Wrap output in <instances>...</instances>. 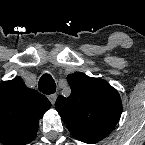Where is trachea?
Here are the masks:
<instances>
[{
    "instance_id": "trachea-1",
    "label": "trachea",
    "mask_w": 145,
    "mask_h": 145,
    "mask_svg": "<svg viewBox=\"0 0 145 145\" xmlns=\"http://www.w3.org/2000/svg\"><path fill=\"white\" fill-rule=\"evenodd\" d=\"M38 89L44 94H53L56 91V83L49 74H44L38 83Z\"/></svg>"
}]
</instances>
